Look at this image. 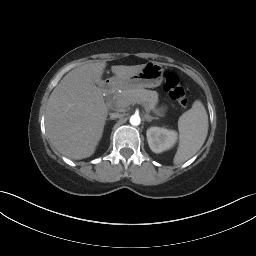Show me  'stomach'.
Instances as JSON below:
<instances>
[{
	"mask_svg": "<svg viewBox=\"0 0 256 256\" xmlns=\"http://www.w3.org/2000/svg\"><path fill=\"white\" fill-rule=\"evenodd\" d=\"M163 74L162 65L158 62L150 61L137 74L124 80L114 76L111 81L120 88H155L161 85Z\"/></svg>",
	"mask_w": 256,
	"mask_h": 256,
	"instance_id": "1",
	"label": "stomach"
}]
</instances>
